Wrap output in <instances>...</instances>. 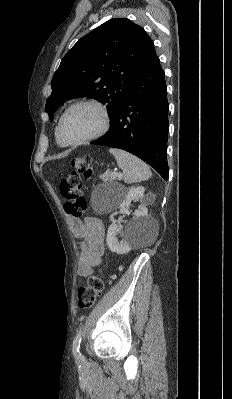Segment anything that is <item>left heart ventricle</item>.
Listing matches in <instances>:
<instances>
[{"mask_svg":"<svg viewBox=\"0 0 232 399\" xmlns=\"http://www.w3.org/2000/svg\"><path fill=\"white\" fill-rule=\"evenodd\" d=\"M102 124L100 111L88 105L76 106L63 122V133L70 140H80L94 134Z\"/></svg>","mask_w":232,"mask_h":399,"instance_id":"obj_1","label":"left heart ventricle"}]
</instances>
